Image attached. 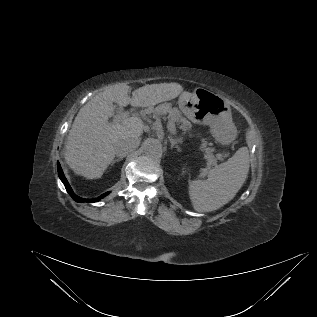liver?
<instances>
[{"label": "liver", "mask_w": 317, "mask_h": 317, "mask_svg": "<svg viewBox=\"0 0 317 317\" xmlns=\"http://www.w3.org/2000/svg\"><path fill=\"white\" fill-rule=\"evenodd\" d=\"M129 87L119 84L88 101L78 112L65 145V160L78 175L87 179L100 178L115 157L117 141L143 133V122L129 117L109 122L114 115V105L153 107L178 97L183 87L178 83H160L140 87L128 96Z\"/></svg>", "instance_id": "6515ba94"}]
</instances>
